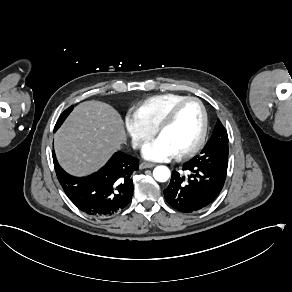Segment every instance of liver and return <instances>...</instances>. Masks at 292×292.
I'll use <instances>...</instances> for the list:
<instances>
[{
  "instance_id": "obj_1",
  "label": "liver",
  "mask_w": 292,
  "mask_h": 292,
  "mask_svg": "<svg viewBox=\"0 0 292 292\" xmlns=\"http://www.w3.org/2000/svg\"><path fill=\"white\" fill-rule=\"evenodd\" d=\"M55 138L57 155L64 168L85 175L119 149L125 131L121 117L111 106L89 101L75 108Z\"/></svg>"
}]
</instances>
